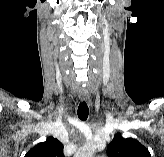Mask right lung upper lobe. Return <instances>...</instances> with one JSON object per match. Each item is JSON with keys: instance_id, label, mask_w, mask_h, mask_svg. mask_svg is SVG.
I'll list each match as a JSON object with an SVG mask.
<instances>
[{"instance_id": "obj_1", "label": "right lung upper lobe", "mask_w": 164, "mask_h": 157, "mask_svg": "<svg viewBox=\"0 0 164 157\" xmlns=\"http://www.w3.org/2000/svg\"><path fill=\"white\" fill-rule=\"evenodd\" d=\"M24 157H65L63 154V145L60 141L48 137L45 142L37 144L29 150Z\"/></svg>"}]
</instances>
